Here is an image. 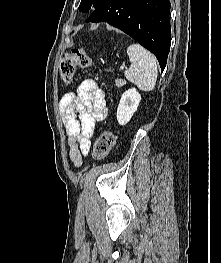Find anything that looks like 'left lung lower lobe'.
Instances as JSON below:
<instances>
[{
    "label": "left lung lower lobe",
    "mask_w": 221,
    "mask_h": 263,
    "mask_svg": "<svg viewBox=\"0 0 221 263\" xmlns=\"http://www.w3.org/2000/svg\"><path fill=\"white\" fill-rule=\"evenodd\" d=\"M169 0H104L86 22H107L130 35L158 59L162 71L171 44Z\"/></svg>",
    "instance_id": "obj_1"
}]
</instances>
